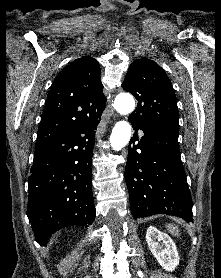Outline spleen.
Instances as JSON below:
<instances>
[{
  "mask_svg": "<svg viewBox=\"0 0 221 278\" xmlns=\"http://www.w3.org/2000/svg\"><path fill=\"white\" fill-rule=\"evenodd\" d=\"M166 228L168 229V231L173 234V235H179V228L177 226H174L173 224H169L166 226Z\"/></svg>",
  "mask_w": 221,
  "mask_h": 278,
  "instance_id": "obj_1",
  "label": "spleen"
}]
</instances>
